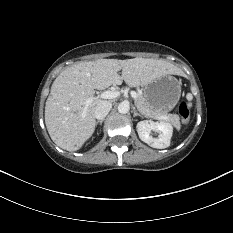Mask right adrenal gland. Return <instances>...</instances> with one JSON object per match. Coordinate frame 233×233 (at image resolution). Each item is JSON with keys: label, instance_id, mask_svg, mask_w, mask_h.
<instances>
[{"label": "right adrenal gland", "instance_id": "1", "mask_svg": "<svg viewBox=\"0 0 233 233\" xmlns=\"http://www.w3.org/2000/svg\"><path fill=\"white\" fill-rule=\"evenodd\" d=\"M98 123H99L100 125H102L103 120H98V121L96 122V125H97Z\"/></svg>", "mask_w": 233, "mask_h": 233}]
</instances>
